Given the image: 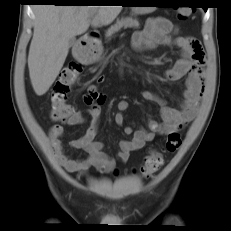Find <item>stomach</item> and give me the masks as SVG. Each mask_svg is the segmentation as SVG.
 <instances>
[{
	"instance_id": "0dacf381",
	"label": "stomach",
	"mask_w": 231,
	"mask_h": 231,
	"mask_svg": "<svg viewBox=\"0 0 231 231\" xmlns=\"http://www.w3.org/2000/svg\"><path fill=\"white\" fill-rule=\"evenodd\" d=\"M135 3H138V4H157L158 1L139 0V1H135ZM155 9H156V7H132V11L135 14H147V13L153 12ZM101 54H102V46L97 43L89 51H87V53L84 57V61H86L87 63H93L101 57Z\"/></svg>"
}]
</instances>
